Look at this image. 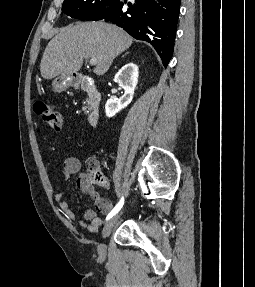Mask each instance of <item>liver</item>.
Here are the masks:
<instances>
[{
	"label": "liver",
	"mask_w": 255,
	"mask_h": 287,
	"mask_svg": "<svg viewBox=\"0 0 255 287\" xmlns=\"http://www.w3.org/2000/svg\"><path fill=\"white\" fill-rule=\"evenodd\" d=\"M133 44V38L122 28L105 22H76L61 28L50 40L41 60L40 72L44 80L60 74H74L82 68L84 58H97L94 74L103 76L114 58Z\"/></svg>",
	"instance_id": "liver-1"
}]
</instances>
